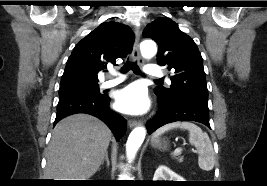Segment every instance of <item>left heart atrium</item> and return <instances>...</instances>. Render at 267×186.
Wrapping results in <instances>:
<instances>
[{
	"label": "left heart atrium",
	"instance_id": "left-heart-atrium-1",
	"mask_svg": "<svg viewBox=\"0 0 267 186\" xmlns=\"http://www.w3.org/2000/svg\"><path fill=\"white\" fill-rule=\"evenodd\" d=\"M150 106L146 88L140 83H132L116 93V107L130 115H141Z\"/></svg>",
	"mask_w": 267,
	"mask_h": 186
}]
</instances>
